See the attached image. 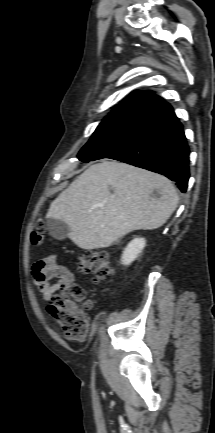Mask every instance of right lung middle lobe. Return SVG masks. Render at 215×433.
Listing matches in <instances>:
<instances>
[{
  "label": "right lung middle lobe",
  "instance_id": "right-lung-middle-lobe-1",
  "mask_svg": "<svg viewBox=\"0 0 215 433\" xmlns=\"http://www.w3.org/2000/svg\"><path fill=\"white\" fill-rule=\"evenodd\" d=\"M148 119L126 117L102 121L79 152L83 162L106 158L121 150L140 132Z\"/></svg>",
  "mask_w": 215,
  "mask_h": 433
}]
</instances>
